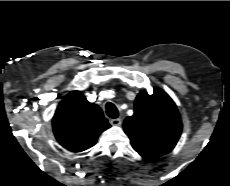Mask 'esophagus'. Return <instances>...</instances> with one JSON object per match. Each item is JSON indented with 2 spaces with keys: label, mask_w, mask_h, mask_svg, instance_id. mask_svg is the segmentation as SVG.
Returning <instances> with one entry per match:
<instances>
[{
  "label": "esophagus",
  "mask_w": 230,
  "mask_h": 186,
  "mask_svg": "<svg viewBox=\"0 0 230 186\" xmlns=\"http://www.w3.org/2000/svg\"><path fill=\"white\" fill-rule=\"evenodd\" d=\"M110 123H111V125H113V126H120L121 123H122V121H121L120 118H116V119H111V120H110Z\"/></svg>",
  "instance_id": "obj_1"
}]
</instances>
